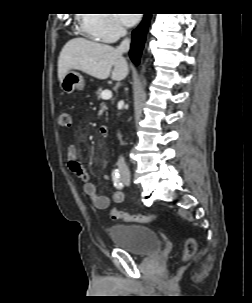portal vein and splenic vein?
Segmentation results:
<instances>
[{"instance_id":"1","label":"portal vein and splenic vein","mask_w":252,"mask_h":303,"mask_svg":"<svg viewBox=\"0 0 252 303\" xmlns=\"http://www.w3.org/2000/svg\"><path fill=\"white\" fill-rule=\"evenodd\" d=\"M112 97V92L108 89L101 92V98L103 100H109Z\"/></svg>"}]
</instances>
